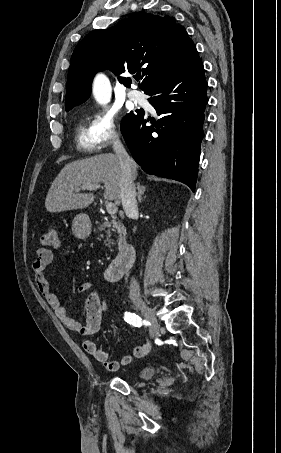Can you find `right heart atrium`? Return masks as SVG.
Returning <instances> with one entry per match:
<instances>
[{
  "label": "right heart atrium",
  "mask_w": 281,
  "mask_h": 453,
  "mask_svg": "<svg viewBox=\"0 0 281 453\" xmlns=\"http://www.w3.org/2000/svg\"><path fill=\"white\" fill-rule=\"evenodd\" d=\"M97 78L93 81V93L99 102L98 98L104 96L107 89ZM90 126L99 143L105 148L118 142L121 136L120 121L116 114L107 108H97L95 110ZM99 161L103 170L109 175L116 174L120 170L119 162L108 153L101 155Z\"/></svg>",
  "instance_id": "obj_1"
}]
</instances>
